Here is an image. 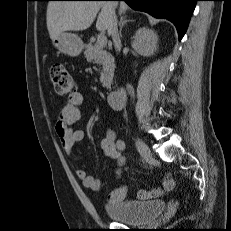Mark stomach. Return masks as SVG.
Segmentation results:
<instances>
[{
    "label": "stomach",
    "instance_id": "obj_1",
    "mask_svg": "<svg viewBox=\"0 0 231 231\" xmlns=\"http://www.w3.org/2000/svg\"><path fill=\"white\" fill-rule=\"evenodd\" d=\"M53 45L61 53L67 54L71 57L80 55L83 49V42L81 38L73 33L62 32L54 40Z\"/></svg>",
    "mask_w": 231,
    "mask_h": 231
}]
</instances>
